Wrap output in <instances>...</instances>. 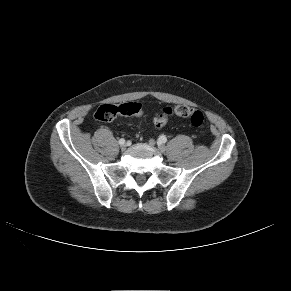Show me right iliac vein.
Here are the masks:
<instances>
[{"instance_id":"right-iliac-vein-1","label":"right iliac vein","mask_w":291,"mask_h":291,"mask_svg":"<svg viewBox=\"0 0 291 291\" xmlns=\"http://www.w3.org/2000/svg\"><path fill=\"white\" fill-rule=\"evenodd\" d=\"M126 147H127V146H126V144H125V143L120 145V148H121L122 150H125V149H126Z\"/></svg>"}]
</instances>
